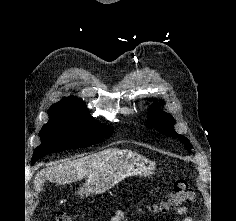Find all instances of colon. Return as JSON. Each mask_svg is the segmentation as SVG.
Instances as JSON below:
<instances>
[{"label":"colon","instance_id":"colon-1","mask_svg":"<svg viewBox=\"0 0 236 221\" xmlns=\"http://www.w3.org/2000/svg\"><path fill=\"white\" fill-rule=\"evenodd\" d=\"M195 192L185 180L175 182L168 195L156 204L155 208L160 212L178 210L191 204L195 200ZM54 221H74L66 213H59Z\"/></svg>","mask_w":236,"mask_h":221}]
</instances>
